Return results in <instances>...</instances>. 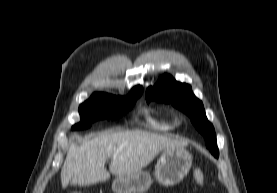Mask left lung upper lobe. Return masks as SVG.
I'll return each instance as SVG.
<instances>
[{
  "label": "left lung upper lobe",
  "instance_id": "left-lung-upper-lobe-1",
  "mask_svg": "<svg viewBox=\"0 0 277 193\" xmlns=\"http://www.w3.org/2000/svg\"><path fill=\"white\" fill-rule=\"evenodd\" d=\"M146 100L172 103L175 107L186 113L197 130L205 137L209 151L218 158L219 150L213 125L208 121L202 102L193 94L191 86L177 82L170 75L165 74L159 78L153 87L146 91Z\"/></svg>",
  "mask_w": 277,
  "mask_h": 193
}]
</instances>
